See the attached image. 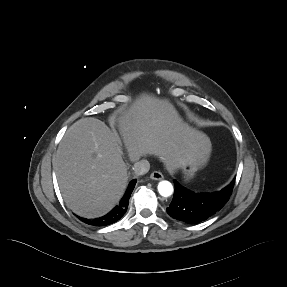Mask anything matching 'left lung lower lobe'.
Masks as SVG:
<instances>
[{
	"label": "left lung lower lobe",
	"instance_id": "obj_1",
	"mask_svg": "<svg viewBox=\"0 0 287 287\" xmlns=\"http://www.w3.org/2000/svg\"><path fill=\"white\" fill-rule=\"evenodd\" d=\"M235 180L227 187L213 193H193L174 181L175 192L167 213L186 223H199L220 210L228 201Z\"/></svg>",
	"mask_w": 287,
	"mask_h": 287
}]
</instances>
